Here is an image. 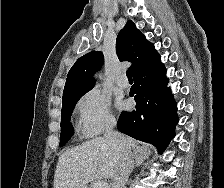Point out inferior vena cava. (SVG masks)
Here are the masks:
<instances>
[{
  "label": "inferior vena cava",
  "instance_id": "602c4592",
  "mask_svg": "<svg viewBox=\"0 0 224 188\" xmlns=\"http://www.w3.org/2000/svg\"><path fill=\"white\" fill-rule=\"evenodd\" d=\"M115 121H110L104 134L105 139L119 152L118 167L114 175L112 188H126L129 174L132 170V154L124 137L114 131Z\"/></svg>",
  "mask_w": 224,
  "mask_h": 188
}]
</instances>
